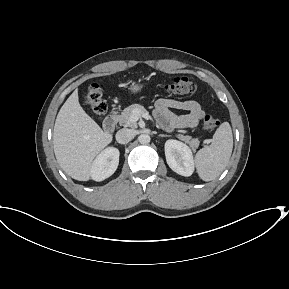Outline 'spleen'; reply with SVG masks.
<instances>
[{
    "instance_id": "obj_1",
    "label": "spleen",
    "mask_w": 289,
    "mask_h": 289,
    "mask_svg": "<svg viewBox=\"0 0 289 289\" xmlns=\"http://www.w3.org/2000/svg\"><path fill=\"white\" fill-rule=\"evenodd\" d=\"M233 149V135L228 122L222 123L216 130L211 144L200 149L195 156L199 177L203 181H212L226 168Z\"/></svg>"
}]
</instances>
